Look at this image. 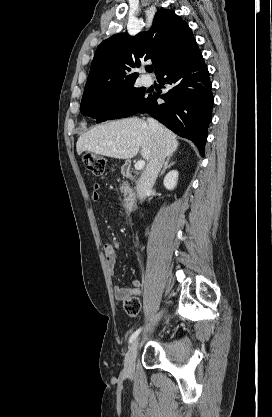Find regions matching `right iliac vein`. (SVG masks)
<instances>
[{"instance_id": "1", "label": "right iliac vein", "mask_w": 272, "mask_h": 417, "mask_svg": "<svg viewBox=\"0 0 272 417\" xmlns=\"http://www.w3.org/2000/svg\"><path fill=\"white\" fill-rule=\"evenodd\" d=\"M138 345H139V339H136L132 343L131 347L129 348L126 354L124 370L128 375H132L134 373L135 359L137 356Z\"/></svg>"}]
</instances>
